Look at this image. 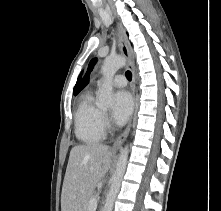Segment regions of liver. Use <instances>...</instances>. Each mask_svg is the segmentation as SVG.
Here are the masks:
<instances>
[{
    "label": "liver",
    "mask_w": 221,
    "mask_h": 211,
    "mask_svg": "<svg viewBox=\"0 0 221 211\" xmlns=\"http://www.w3.org/2000/svg\"><path fill=\"white\" fill-rule=\"evenodd\" d=\"M113 153L101 144L75 146L64 177L61 211H84L86 198L110 169Z\"/></svg>",
    "instance_id": "1"
}]
</instances>
